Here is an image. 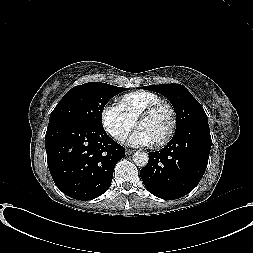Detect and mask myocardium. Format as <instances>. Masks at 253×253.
Here are the masks:
<instances>
[{
  "label": "myocardium",
  "instance_id": "myocardium-1",
  "mask_svg": "<svg viewBox=\"0 0 253 253\" xmlns=\"http://www.w3.org/2000/svg\"><path fill=\"white\" fill-rule=\"evenodd\" d=\"M162 108H166L170 112L171 124H170V127H169L167 133L159 141L154 143L155 147H161V146H164L165 144H167L172 139V137L174 136V134L176 132L177 124H178V116H177V112H176L175 108L173 107V105H171L170 103H168L166 101H159L157 103H154V104L146 107L143 111L140 112V114L138 115V117L136 119V126L138 127V124L142 119L153 115L155 112H157L158 110H160Z\"/></svg>",
  "mask_w": 253,
  "mask_h": 253
}]
</instances>
